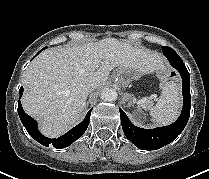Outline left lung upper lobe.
<instances>
[{"label":"left lung upper lobe","mask_w":209,"mask_h":179,"mask_svg":"<svg viewBox=\"0 0 209 179\" xmlns=\"http://www.w3.org/2000/svg\"><path fill=\"white\" fill-rule=\"evenodd\" d=\"M162 49H163V53L164 54H167V53L173 54V52H174V50L172 48H170V47L163 46Z\"/></svg>","instance_id":"left-lung-upper-lobe-1"}]
</instances>
